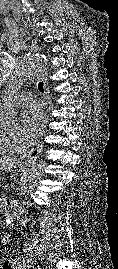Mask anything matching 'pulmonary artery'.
I'll list each match as a JSON object with an SVG mask.
<instances>
[{
	"label": "pulmonary artery",
	"mask_w": 118,
	"mask_h": 269,
	"mask_svg": "<svg viewBox=\"0 0 118 269\" xmlns=\"http://www.w3.org/2000/svg\"><path fill=\"white\" fill-rule=\"evenodd\" d=\"M34 96L31 92H20L15 96V102L17 104H28L32 102Z\"/></svg>",
	"instance_id": "obj_1"
}]
</instances>
